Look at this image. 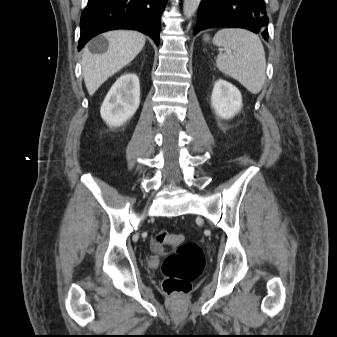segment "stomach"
Wrapping results in <instances>:
<instances>
[{
  "mask_svg": "<svg viewBox=\"0 0 337 337\" xmlns=\"http://www.w3.org/2000/svg\"><path fill=\"white\" fill-rule=\"evenodd\" d=\"M206 41H208L209 40V38L206 36L205 38H204Z\"/></svg>",
  "mask_w": 337,
  "mask_h": 337,
  "instance_id": "obj_1",
  "label": "stomach"
}]
</instances>
